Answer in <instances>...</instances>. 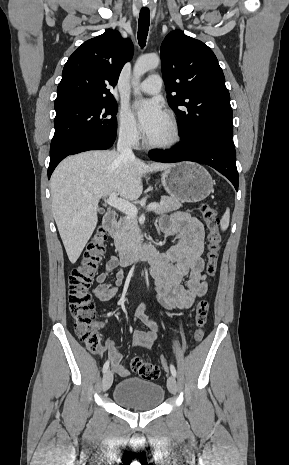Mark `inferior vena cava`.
<instances>
[{"label": "inferior vena cava", "mask_w": 289, "mask_h": 465, "mask_svg": "<svg viewBox=\"0 0 289 465\" xmlns=\"http://www.w3.org/2000/svg\"><path fill=\"white\" fill-rule=\"evenodd\" d=\"M134 131H125L120 133L118 142H117V151L125 157L134 158V153L132 151V142L134 139Z\"/></svg>", "instance_id": "obj_1"}]
</instances>
